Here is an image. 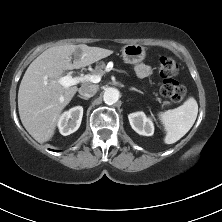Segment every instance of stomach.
I'll use <instances>...</instances> for the list:
<instances>
[{"instance_id": "stomach-1", "label": "stomach", "mask_w": 222, "mask_h": 222, "mask_svg": "<svg viewBox=\"0 0 222 222\" xmlns=\"http://www.w3.org/2000/svg\"><path fill=\"white\" fill-rule=\"evenodd\" d=\"M146 49L140 44H128L122 48V56L125 63L137 64L144 60Z\"/></svg>"}]
</instances>
